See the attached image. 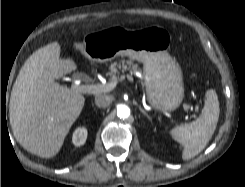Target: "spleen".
Here are the masks:
<instances>
[{"label":"spleen","mask_w":245,"mask_h":187,"mask_svg":"<svg viewBox=\"0 0 245 187\" xmlns=\"http://www.w3.org/2000/svg\"><path fill=\"white\" fill-rule=\"evenodd\" d=\"M202 114L194 121L174 127L170 135L183 146L182 159L198 155L210 141L219 119V101L215 90L206 92Z\"/></svg>","instance_id":"1"}]
</instances>
